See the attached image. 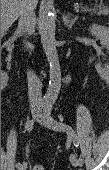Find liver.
I'll return each instance as SVG.
<instances>
[{
  "instance_id": "6515ba94",
  "label": "liver",
  "mask_w": 109,
  "mask_h": 170,
  "mask_svg": "<svg viewBox=\"0 0 109 170\" xmlns=\"http://www.w3.org/2000/svg\"><path fill=\"white\" fill-rule=\"evenodd\" d=\"M22 0H1V31L4 33L19 17ZM33 7L38 0H31Z\"/></svg>"
}]
</instances>
